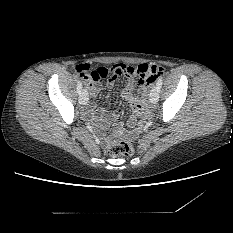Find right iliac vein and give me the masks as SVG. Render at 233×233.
<instances>
[{
    "label": "right iliac vein",
    "mask_w": 233,
    "mask_h": 233,
    "mask_svg": "<svg viewBox=\"0 0 233 233\" xmlns=\"http://www.w3.org/2000/svg\"><path fill=\"white\" fill-rule=\"evenodd\" d=\"M88 93L86 90H83L79 96V102L82 105H85L88 102Z\"/></svg>",
    "instance_id": "63e3f726"
}]
</instances>
